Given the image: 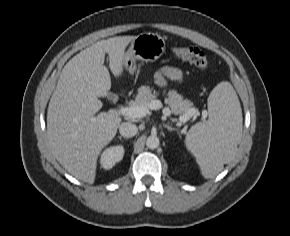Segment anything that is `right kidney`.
Returning <instances> with one entry per match:
<instances>
[{
  "instance_id": "ca27d5eb",
  "label": "right kidney",
  "mask_w": 290,
  "mask_h": 236,
  "mask_svg": "<svg viewBox=\"0 0 290 236\" xmlns=\"http://www.w3.org/2000/svg\"><path fill=\"white\" fill-rule=\"evenodd\" d=\"M124 155V147L122 145H116L106 148L100 157L101 167L109 170L117 162L121 161Z\"/></svg>"
}]
</instances>
